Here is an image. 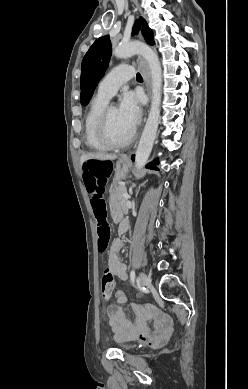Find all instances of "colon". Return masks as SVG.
Returning <instances> with one entry per match:
<instances>
[{"mask_svg": "<svg viewBox=\"0 0 248 389\" xmlns=\"http://www.w3.org/2000/svg\"><path fill=\"white\" fill-rule=\"evenodd\" d=\"M85 170V184L90 198L92 210L97 219L98 226V251L104 253L109 245L111 238V227L106 219V205L104 192L106 191V182L110 181V172L113 171V162L108 157H85L83 159ZM129 282L128 278L124 279ZM115 288L113 274L109 268H105L101 275V293L102 298L107 301ZM131 288L130 286L128 287ZM127 291L117 288L113 293V299L127 298ZM104 317L108 319L107 310Z\"/></svg>", "mask_w": 248, "mask_h": 389, "instance_id": "5ec220e1", "label": "colon"}]
</instances>
